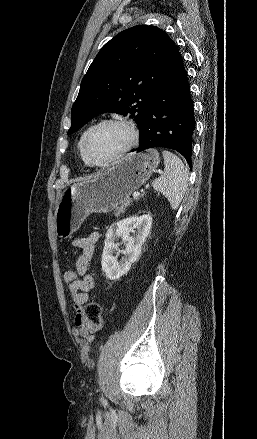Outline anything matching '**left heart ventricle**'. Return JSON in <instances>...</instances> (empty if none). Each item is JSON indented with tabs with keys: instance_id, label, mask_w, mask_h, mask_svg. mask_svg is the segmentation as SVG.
<instances>
[{
	"instance_id": "b2bd125f",
	"label": "left heart ventricle",
	"mask_w": 257,
	"mask_h": 439,
	"mask_svg": "<svg viewBox=\"0 0 257 439\" xmlns=\"http://www.w3.org/2000/svg\"><path fill=\"white\" fill-rule=\"evenodd\" d=\"M129 141L127 130L118 125H107L91 138L88 153L96 162H106L117 155Z\"/></svg>"
}]
</instances>
